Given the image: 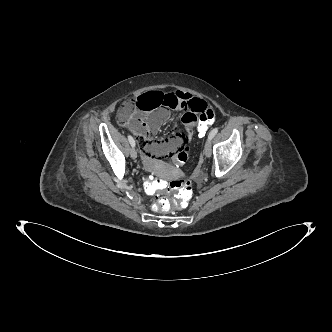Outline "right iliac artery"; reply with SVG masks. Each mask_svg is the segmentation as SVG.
<instances>
[{
    "mask_svg": "<svg viewBox=\"0 0 332 332\" xmlns=\"http://www.w3.org/2000/svg\"><path fill=\"white\" fill-rule=\"evenodd\" d=\"M128 141L132 147H135V140L131 135H128Z\"/></svg>",
    "mask_w": 332,
    "mask_h": 332,
    "instance_id": "1",
    "label": "right iliac artery"
}]
</instances>
